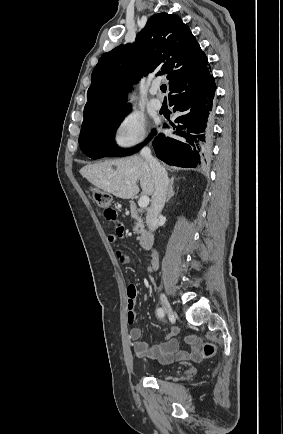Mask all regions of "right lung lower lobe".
<instances>
[{"label":"right lung lower lobe","instance_id":"98d812e1","mask_svg":"<svg viewBox=\"0 0 283 434\" xmlns=\"http://www.w3.org/2000/svg\"><path fill=\"white\" fill-rule=\"evenodd\" d=\"M215 89L212 77L198 89L169 99V105L177 114V124H172L173 135L159 134L154 138L152 144L157 158L169 165L181 167H196L205 159L211 144Z\"/></svg>","mask_w":283,"mask_h":434}]
</instances>
